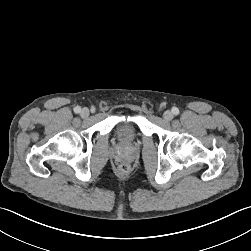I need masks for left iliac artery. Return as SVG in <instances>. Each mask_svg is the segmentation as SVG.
<instances>
[{
    "label": "left iliac artery",
    "instance_id": "left-iliac-artery-1",
    "mask_svg": "<svg viewBox=\"0 0 251 251\" xmlns=\"http://www.w3.org/2000/svg\"><path fill=\"white\" fill-rule=\"evenodd\" d=\"M172 112H173V114L178 115L179 114V109L177 107H173Z\"/></svg>",
    "mask_w": 251,
    "mask_h": 251
}]
</instances>
